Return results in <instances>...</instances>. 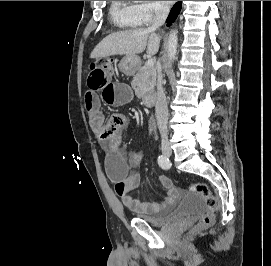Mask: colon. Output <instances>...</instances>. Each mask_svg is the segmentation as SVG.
I'll list each match as a JSON object with an SVG mask.
<instances>
[{
	"instance_id": "obj_1",
	"label": "colon",
	"mask_w": 271,
	"mask_h": 266,
	"mask_svg": "<svg viewBox=\"0 0 271 266\" xmlns=\"http://www.w3.org/2000/svg\"><path fill=\"white\" fill-rule=\"evenodd\" d=\"M94 68H100L104 70H112L113 68V60L111 58H100L92 63L91 65ZM189 190L191 192L199 195L206 206L207 214L200 223V227H207L211 224L213 219V214L215 213L218 203L215 196L212 194L208 186L202 182H194L189 186Z\"/></svg>"
}]
</instances>
